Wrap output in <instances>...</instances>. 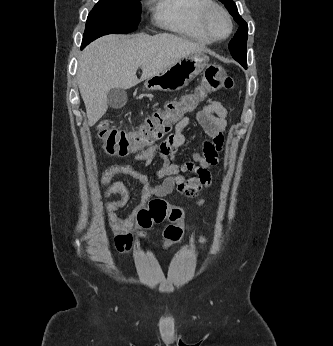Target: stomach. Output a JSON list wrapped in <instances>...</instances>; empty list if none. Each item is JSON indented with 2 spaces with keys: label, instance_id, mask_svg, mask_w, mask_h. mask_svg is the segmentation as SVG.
I'll list each match as a JSON object with an SVG mask.
<instances>
[{
  "label": "stomach",
  "instance_id": "1",
  "mask_svg": "<svg viewBox=\"0 0 333 346\" xmlns=\"http://www.w3.org/2000/svg\"><path fill=\"white\" fill-rule=\"evenodd\" d=\"M209 57L203 52L190 54L169 66L163 72L146 79L149 91H176L187 86L207 66Z\"/></svg>",
  "mask_w": 333,
  "mask_h": 346
}]
</instances>
